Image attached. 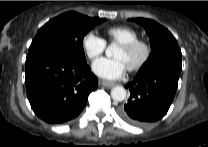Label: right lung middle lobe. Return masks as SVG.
<instances>
[{"label":"right lung middle lobe","instance_id":"right-lung-middle-lobe-1","mask_svg":"<svg viewBox=\"0 0 208 147\" xmlns=\"http://www.w3.org/2000/svg\"><path fill=\"white\" fill-rule=\"evenodd\" d=\"M104 20L90 18L74 11L63 13L39 29L26 59L47 53H63L85 62L83 38Z\"/></svg>","mask_w":208,"mask_h":147}]
</instances>
